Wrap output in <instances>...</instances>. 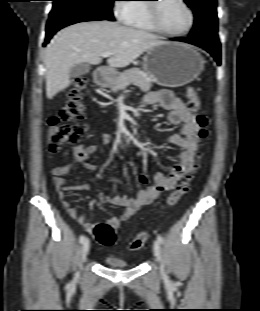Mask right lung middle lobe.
I'll return each mask as SVG.
<instances>
[{
  "instance_id": "obj_1",
  "label": "right lung middle lobe",
  "mask_w": 260,
  "mask_h": 311,
  "mask_svg": "<svg viewBox=\"0 0 260 311\" xmlns=\"http://www.w3.org/2000/svg\"><path fill=\"white\" fill-rule=\"evenodd\" d=\"M54 5L50 14L73 12L94 15L114 21L111 11L115 0H53Z\"/></svg>"
}]
</instances>
